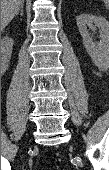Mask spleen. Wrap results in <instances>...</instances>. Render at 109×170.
<instances>
[{"label": "spleen", "mask_w": 109, "mask_h": 170, "mask_svg": "<svg viewBox=\"0 0 109 170\" xmlns=\"http://www.w3.org/2000/svg\"><path fill=\"white\" fill-rule=\"evenodd\" d=\"M102 1H104L105 4L109 3V0H102Z\"/></svg>", "instance_id": "1"}]
</instances>
